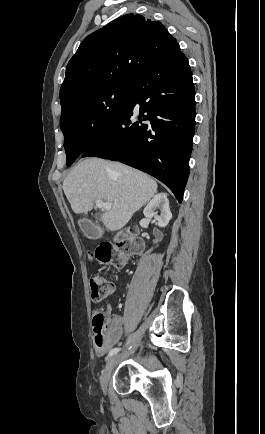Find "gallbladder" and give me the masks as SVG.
Here are the masks:
<instances>
[{"label":"gallbladder","mask_w":265,"mask_h":434,"mask_svg":"<svg viewBox=\"0 0 265 434\" xmlns=\"http://www.w3.org/2000/svg\"><path fill=\"white\" fill-rule=\"evenodd\" d=\"M95 218H101V214H96ZM81 229L86 232L85 236L88 239L98 240L101 237V232L98 229H101V226L93 225V221L90 218H84L81 220Z\"/></svg>","instance_id":"bac80fb5"}]
</instances>
